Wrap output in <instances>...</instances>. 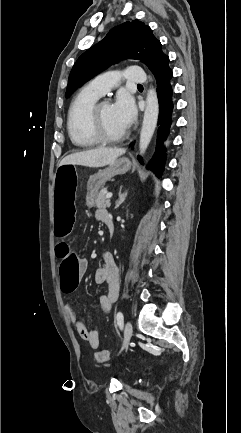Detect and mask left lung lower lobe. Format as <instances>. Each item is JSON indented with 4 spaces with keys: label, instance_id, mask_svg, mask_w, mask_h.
<instances>
[{
    "label": "left lung lower lobe",
    "instance_id": "obj_1",
    "mask_svg": "<svg viewBox=\"0 0 241 433\" xmlns=\"http://www.w3.org/2000/svg\"><path fill=\"white\" fill-rule=\"evenodd\" d=\"M172 70L168 68L162 74L155 76L159 101V120L155 153L147 165L158 177L162 175L166 161V142L172 126L173 88L170 83ZM133 145V144H131ZM139 161L143 164L142 159Z\"/></svg>",
    "mask_w": 241,
    "mask_h": 433
}]
</instances>
